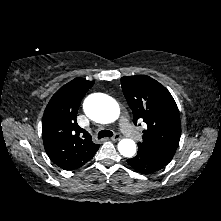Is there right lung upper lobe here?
Returning <instances> with one entry per match:
<instances>
[{
  "mask_svg": "<svg viewBox=\"0 0 221 221\" xmlns=\"http://www.w3.org/2000/svg\"><path fill=\"white\" fill-rule=\"evenodd\" d=\"M93 81L76 78L61 87L49 101L42 118L45 151L64 170H74L88 162L99 148L76 121L78 108Z\"/></svg>",
  "mask_w": 221,
  "mask_h": 221,
  "instance_id": "right-lung-upper-lobe-1",
  "label": "right lung upper lobe"
}]
</instances>
